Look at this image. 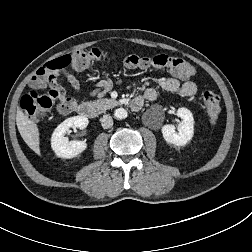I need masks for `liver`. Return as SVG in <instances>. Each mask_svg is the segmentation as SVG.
<instances>
[{
    "label": "liver",
    "mask_w": 252,
    "mask_h": 252,
    "mask_svg": "<svg viewBox=\"0 0 252 252\" xmlns=\"http://www.w3.org/2000/svg\"><path fill=\"white\" fill-rule=\"evenodd\" d=\"M16 124L18 131L29 146L37 155H40V138H39V129L37 124L29 119L19 108L16 114Z\"/></svg>",
    "instance_id": "obj_1"
}]
</instances>
